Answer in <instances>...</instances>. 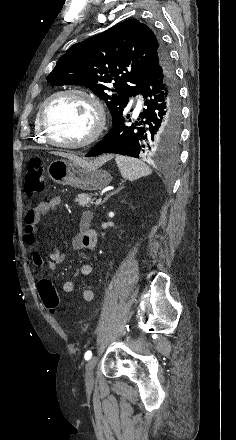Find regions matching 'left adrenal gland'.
<instances>
[{"label": "left adrenal gland", "mask_w": 236, "mask_h": 440, "mask_svg": "<svg viewBox=\"0 0 236 440\" xmlns=\"http://www.w3.org/2000/svg\"><path fill=\"white\" fill-rule=\"evenodd\" d=\"M124 187L123 186H121L120 188H118L116 191H114V192H112V193H110L104 200H103V202L102 203H104L110 196H112V195H114V194H116V193H118L121 189H123Z\"/></svg>", "instance_id": "left-adrenal-gland-1"}]
</instances>
